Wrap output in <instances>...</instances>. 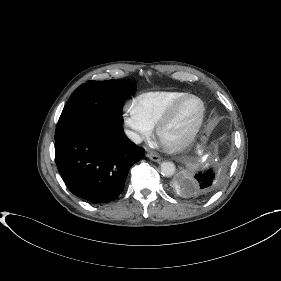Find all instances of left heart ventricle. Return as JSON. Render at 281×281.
Listing matches in <instances>:
<instances>
[{
	"label": "left heart ventricle",
	"instance_id": "1",
	"mask_svg": "<svg viewBox=\"0 0 281 281\" xmlns=\"http://www.w3.org/2000/svg\"><path fill=\"white\" fill-rule=\"evenodd\" d=\"M200 114V104L196 100L187 101L178 111L171 124L165 129L163 138L166 142H177L193 128Z\"/></svg>",
	"mask_w": 281,
	"mask_h": 281
}]
</instances>
